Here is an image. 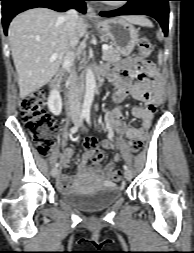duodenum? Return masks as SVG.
<instances>
[{
	"label": "duodenum",
	"mask_w": 194,
	"mask_h": 253,
	"mask_svg": "<svg viewBox=\"0 0 194 253\" xmlns=\"http://www.w3.org/2000/svg\"><path fill=\"white\" fill-rule=\"evenodd\" d=\"M62 77L58 76L54 78L50 83V90L53 94L60 93V86H61Z\"/></svg>",
	"instance_id": "duodenum-1"
}]
</instances>
